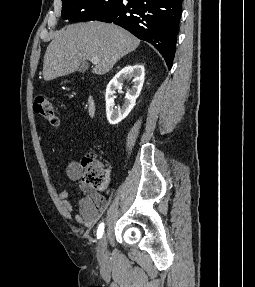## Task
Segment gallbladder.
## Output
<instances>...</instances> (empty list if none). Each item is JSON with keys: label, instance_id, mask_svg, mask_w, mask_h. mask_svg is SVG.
I'll use <instances>...</instances> for the list:
<instances>
[{"label": "gallbladder", "instance_id": "1", "mask_svg": "<svg viewBox=\"0 0 255 287\" xmlns=\"http://www.w3.org/2000/svg\"><path fill=\"white\" fill-rule=\"evenodd\" d=\"M83 70H87V66H85V68H80L79 72H83Z\"/></svg>", "mask_w": 255, "mask_h": 287}]
</instances>
